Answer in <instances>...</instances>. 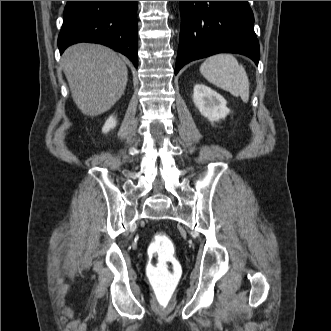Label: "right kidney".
<instances>
[{
    "instance_id": "obj_1",
    "label": "right kidney",
    "mask_w": 331,
    "mask_h": 331,
    "mask_svg": "<svg viewBox=\"0 0 331 331\" xmlns=\"http://www.w3.org/2000/svg\"><path fill=\"white\" fill-rule=\"evenodd\" d=\"M116 119L113 116H110L107 121L105 122L102 132L108 133L111 129H113L116 126Z\"/></svg>"
}]
</instances>
